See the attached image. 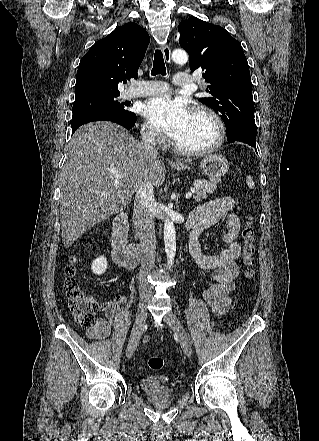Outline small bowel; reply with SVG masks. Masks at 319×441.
Masks as SVG:
<instances>
[{
    "instance_id": "small-bowel-1",
    "label": "small bowel",
    "mask_w": 319,
    "mask_h": 441,
    "mask_svg": "<svg viewBox=\"0 0 319 441\" xmlns=\"http://www.w3.org/2000/svg\"><path fill=\"white\" fill-rule=\"evenodd\" d=\"M235 202L230 196L208 201L196 207L189 215L187 226L191 229L189 251L197 265L212 272L213 283L203 292L204 300L216 315L224 314L231 305L230 294L239 275L236 260L240 256L241 246L238 234L241 223L233 213ZM226 220L228 231L223 236L222 251L218 255H207L202 252L199 237L203 231ZM130 302L128 296H121L101 306L103 317L95 322L92 328H86L89 339L105 340L112 332L116 309ZM97 305L99 303L95 301Z\"/></svg>"
}]
</instances>
